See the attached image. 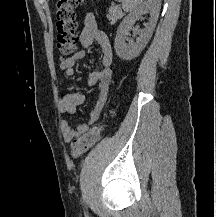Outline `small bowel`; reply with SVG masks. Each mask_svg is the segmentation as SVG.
I'll use <instances>...</instances> for the list:
<instances>
[{"mask_svg":"<svg viewBox=\"0 0 216 217\" xmlns=\"http://www.w3.org/2000/svg\"><path fill=\"white\" fill-rule=\"evenodd\" d=\"M79 42L84 48L90 47L97 42L101 47V63L98 70L92 72L88 78L89 86L98 85L97 100L86 123L72 127L68 120L64 119L60 123V131L64 142L69 143L85 133L89 126L96 123L101 115L102 109L108 99L112 85V63L113 53L107 36L98 29L97 20L94 14L88 13L83 20V29L79 36ZM85 57V51L76 52L71 58L60 63V69L69 78L75 75L76 64ZM86 96L82 92H73L65 95L58 104L61 114L73 115L77 107L82 105Z\"/></svg>","mask_w":216,"mask_h":217,"instance_id":"obj_1","label":"small bowel"}]
</instances>
